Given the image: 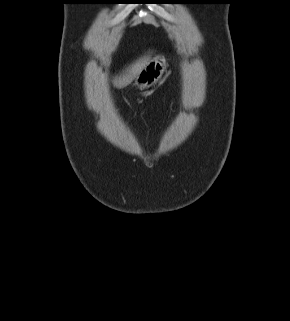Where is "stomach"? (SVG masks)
Listing matches in <instances>:
<instances>
[{
  "label": "stomach",
  "mask_w": 290,
  "mask_h": 321,
  "mask_svg": "<svg viewBox=\"0 0 290 321\" xmlns=\"http://www.w3.org/2000/svg\"><path fill=\"white\" fill-rule=\"evenodd\" d=\"M166 69V60L164 57L155 56L138 73L135 78V85L140 89L151 87L159 81Z\"/></svg>",
  "instance_id": "stomach-1"
}]
</instances>
